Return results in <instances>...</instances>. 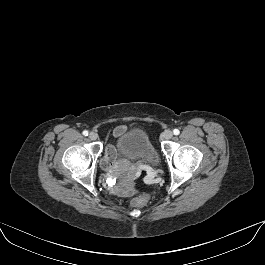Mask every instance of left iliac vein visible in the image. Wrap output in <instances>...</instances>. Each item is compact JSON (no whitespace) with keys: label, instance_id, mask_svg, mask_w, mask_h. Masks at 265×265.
Returning a JSON list of instances; mask_svg holds the SVG:
<instances>
[{"label":"left iliac vein","instance_id":"4c4485c4","mask_svg":"<svg viewBox=\"0 0 265 265\" xmlns=\"http://www.w3.org/2000/svg\"><path fill=\"white\" fill-rule=\"evenodd\" d=\"M162 137H163L164 139H166V140H169V139H171V138L173 137V132H172L171 130H166V131L163 133Z\"/></svg>","mask_w":265,"mask_h":265}]
</instances>
